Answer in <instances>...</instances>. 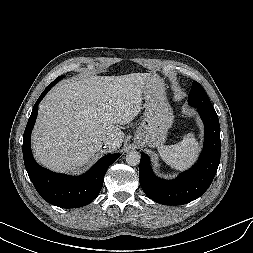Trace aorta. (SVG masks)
I'll list each match as a JSON object with an SVG mask.
<instances>
[{
    "mask_svg": "<svg viewBox=\"0 0 253 253\" xmlns=\"http://www.w3.org/2000/svg\"><path fill=\"white\" fill-rule=\"evenodd\" d=\"M140 159V153L135 150H131L126 154V162L130 166H137L140 162Z\"/></svg>",
    "mask_w": 253,
    "mask_h": 253,
    "instance_id": "aorta-1",
    "label": "aorta"
}]
</instances>
